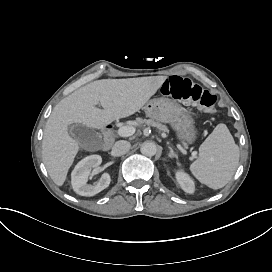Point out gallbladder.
<instances>
[{
	"mask_svg": "<svg viewBox=\"0 0 272 272\" xmlns=\"http://www.w3.org/2000/svg\"><path fill=\"white\" fill-rule=\"evenodd\" d=\"M71 136L78 142L83 149L98 147L102 144L101 136L94 129L82 124H73L69 126Z\"/></svg>",
	"mask_w": 272,
	"mask_h": 272,
	"instance_id": "gallbladder-1",
	"label": "gallbladder"
}]
</instances>
